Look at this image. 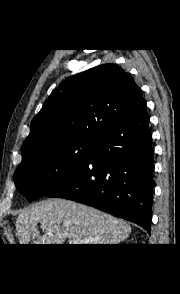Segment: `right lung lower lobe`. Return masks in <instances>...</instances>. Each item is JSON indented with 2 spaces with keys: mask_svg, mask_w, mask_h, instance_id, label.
Here are the masks:
<instances>
[{
  "mask_svg": "<svg viewBox=\"0 0 180 294\" xmlns=\"http://www.w3.org/2000/svg\"><path fill=\"white\" fill-rule=\"evenodd\" d=\"M146 102L94 142L83 165L46 196L80 202L150 233L153 148Z\"/></svg>",
  "mask_w": 180,
  "mask_h": 294,
  "instance_id": "98d812e1",
  "label": "right lung lower lobe"
}]
</instances>
